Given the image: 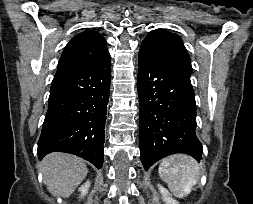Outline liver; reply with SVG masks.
Instances as JSON below:
<instances>
[{"instance_id": "obj_1", "label": "liver", "mask_w": 253, "mask_h": 204, "mask_svg": "<svg viewBox=\"0 0 253 204\" xmlns=\"http://www.w3.org/2000/svg\"><path fill=\"white\" fill-rule=\"evenodd\" d=\"M40 166L48 191L63 198H68L88 173L81 158L60 152L48 154Z\"/></svg>"}]
</instances>
